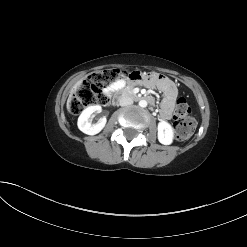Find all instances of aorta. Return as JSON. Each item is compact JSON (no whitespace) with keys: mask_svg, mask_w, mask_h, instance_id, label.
Returning a JSON list of instances; mask_svg holds the SVG:
<instances>
[{"mask_svg":"<svg viewBox=\"0 0 247 247\" xmlns=\"http://www.w3.org/2000/svg\"><path fill=\"white\" fill-rule=\"evenodd\" d=\"M139 106L142 108H145L147 106V101L146 100H140L139 101Z\"/></svg>","mask_w":247,"mask_h":247,"instance_id":"obj_1","label":"aorta"}]
</instances>
